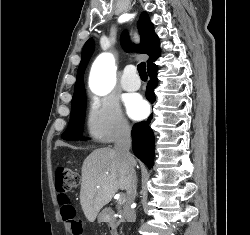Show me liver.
Returning <instances> with one entry per match:
<instances>
[{
  "label": "liver",
  "mask_w": 250,
  "mask_h": 235,
  "mask_svg": "<svg viewBox=\"0 0 250 235\" xmlns=\"http://www.w3.org/2000/svg\"><path fill=\"white\" fill-rule=\"evenodd\" d=\"M130 180V172L115 149L100 148L87 156L82 165L80 203L88 221H95L119 189L127 190Z\"/></svg>",
  "instance_id": "liver-1"
}]
</instances>
